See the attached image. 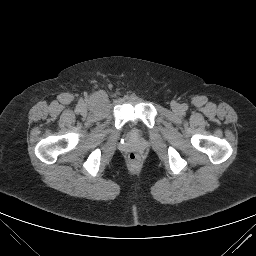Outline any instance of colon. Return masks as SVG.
<instances>
[{
    "label": "colon",
    "mask_w": 256,
    "mask_h": 256,
    "mask_svg": "<svg viewBox=\"0 0 256 256\" xmlns=\"http://www.w3.org/2000/svg\"><path fill=\"white\" fill-rule=\"evenodd\" d=\"M128 160L131 164H137L140 161V157L136 153H130L128 156Z\"/></svg>",
    "instance_id": "obj_1"
}]
</instances>
